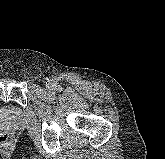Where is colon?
Here are the masks:
<instances>
[{
    "label": "colon",
    "mask_w": 165,
    "mask_h": 159,
    "mask_svg": "<svg viewBox=\"0 0 165 159\" xmlns=\"http://www.w3.org/2000/svg\"><path fill=\"white\" fill-rule=\"evenodd\" d=\"M13 142V136L10 133H2L0 135V144L10 145Z\"/></svg>",
    "instance_id": "1"
}]
</instances>
